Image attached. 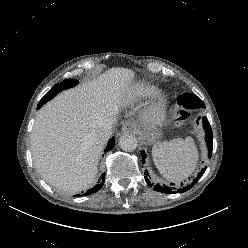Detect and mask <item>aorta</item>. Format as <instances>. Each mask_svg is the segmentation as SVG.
Returning <instances> with one entry per match:
<instances>
[{
  "mask_svg": "<svg viewBox=\"0 0 248 248\" xmlns=\"http://www.w3.org/2000/svg\"><path fill=\"white\" fill-rule=\"evenodd\" d=\"M138 141L137 138L133 135L126 134L120 137L119 146L124 151H134L137 148Z\"/></svg>",
  "mask_w": 248,
  "mask_h": 248,
  "instance_id": "obj_1",
  "label": "aorta"
}]
</instances>
